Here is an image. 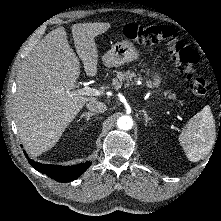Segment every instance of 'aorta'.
Returning a JSON list of instances; mask_svg holds the SVG:
<instances>
[{
  "label": "aorta",
  "instance_id": "762f6f07",
  "mask_svg": "<svg viewBox=\"0 0 221 221\" xmlns=\"http://www.w3.org/2000/svg\"><path fill=\"white\" fill-rule=\"evenodd\" d=\"M117 126L121 130H130L133 126V120L130 116L124 115L118 118Z\"/></svg>",
  "mask_w": 221,
  "mask_h": 221
}]
</instances>
